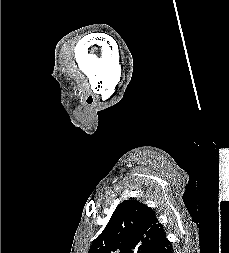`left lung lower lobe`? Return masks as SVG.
Returning <instances> with one entry per match:
<instances>
[{"label": "left lung lower lobe", "instance_id": "0a47b994", "mask_svg": "<svg viewBox=\"0 0 229 253\" xmlns=\"http://www.w3.org/2000/svg\"><path fill=\"white\" fill-rule=\"evenodd\" d=\"M154 253H174L173 247L167 237L160 242Z\"/></svg>", "mask_w": 229, "mask_h": 253}]
</instances>
